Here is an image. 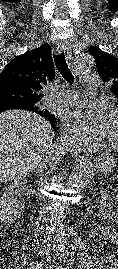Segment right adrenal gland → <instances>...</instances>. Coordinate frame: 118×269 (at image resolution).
<instances>
[{"mask_svg":"<svg viewBox=\"0 0 118 269\" xmlns=\"http://www.w3.org/2000/svg\"><path fill=\"white\" fill-rule=\"evenodd\" d=\"M32 172H35L37 176H40V174L42 173V167L38 166L36 168V171H32Z\"/></svg>","mask_w":118,"mask_h":269,"instance_id":"2a0ac1e0","label":"right adrenal gland"}]
</instances>
